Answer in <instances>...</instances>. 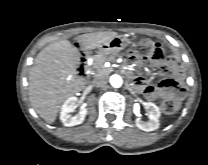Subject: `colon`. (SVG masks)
<instances>
[{
    "label": "colon",
    "instance_id": "1",
    "mask_svg": "<svg viewBox=\"0 0 208 165\" xmlns=\"http://www.w3.org/2000/svg\"><path fill=\"white\" fill-rule=\"evenodd\" d=\"M129 54L136 61L151 59L155 63L166 57V51L160 43L150 39H142L136 45L129 48ZM182 93L172 95L162 101L161 110L165 114H172L179 106Z\"/></svg>",
    "mask_w": 208,
    "mask_h": 165
}]
</instances>
